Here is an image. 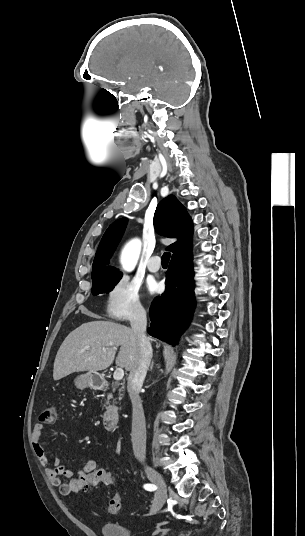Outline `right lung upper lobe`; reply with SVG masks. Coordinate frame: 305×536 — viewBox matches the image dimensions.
Instances as JSON below:
<instances>
[{
  "mask_svg": "<svg viewBox=\"0 0 305 536\" xmlns=\"http://www.w3.org/2000/svg\"><path fill=\"white\" fill-rule=\"evenodd\" d=\"M126 223V218L116 220L103 235L92 265V280L122 275L115 267L106 265L123 235ZM154 226L159 234L169 238H178L175 243L167 247V250L173 252L172 258L191 251L192 220L185 207L174 195H169L158 204L154 215Z\"/></svg>",
  "mask_w": 305,
  "mask_h": 536,
  "instance_id": "1",
  "label": "right lung upper lobe"
}]
</instances>
